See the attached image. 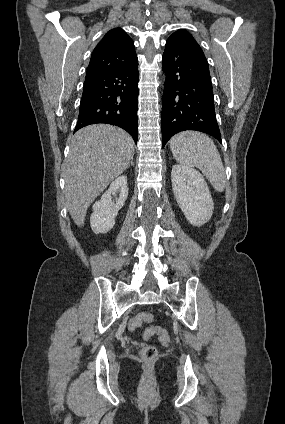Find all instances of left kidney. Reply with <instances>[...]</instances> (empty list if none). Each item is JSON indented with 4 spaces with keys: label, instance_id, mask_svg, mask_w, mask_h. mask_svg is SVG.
<instances>
[{
    "label": "left kidney",
    "instance_id": "obj_1",
    "mask_svg": "<svg viewBox=\"0 0 285 424\" xmlns=\"http://www.w3.org/2000/svg\"><path fill=\"white\" fill-rule=\"evenodd\" d=\"M171 182L176 201L190 224L201 226L208 222L214 203L201 173L191 167L173 165Z\"/></svg>",
    "mask_w": 285,
    "mask_h": 424
}]
</instances>
